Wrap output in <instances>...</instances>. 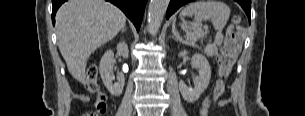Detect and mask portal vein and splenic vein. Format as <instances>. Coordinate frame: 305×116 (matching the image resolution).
<instances>
[{"label": "portal vein and splenic vein", "instance_id": "1", "mask_svg": "<svg viewBox=\"0 0 305 116\" xmlns=\"http://www.w3.org/2000/svg\"><path fill=\"white\" fill-rule=\"evenodd\" d=\"M201 26H202V24H201ZM204 29H206V30H207V29H208V26H207V25H204Z\"/></svg>", "mask_w": 305, "mask_h": 116}]
</instances>
